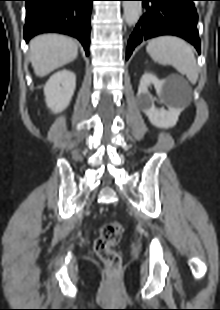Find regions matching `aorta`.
Returning a JSON list of instances; mask_svg holds the SVG:
<instances>
[{
    "label": "aorta",
    "instance_id": "1",
    "mask_svg": "<svg viewBox=\"0 0 220 310\" xmlns=\"http://www.w3.org/2000/svg\"><path fill=\"white\" fill-rule=\"evenodd\" d=\"M124 19L129 26L134 25L141 14V1H124Z\"/></svg>",
    "mask_w": 220,
    "mask_h": 310
}]
</instances>
